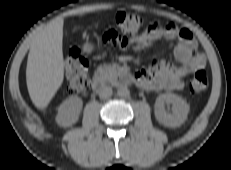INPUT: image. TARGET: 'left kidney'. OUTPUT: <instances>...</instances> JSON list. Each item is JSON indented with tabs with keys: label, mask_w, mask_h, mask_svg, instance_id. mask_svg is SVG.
I'll return each mask as SVG.
<instances>
[{
	"label": "left kidney",
	"mask_w": 231,
	"mask_h": 170,
	"mask_svg": "<svg viewBox=\"0 0 231 170\" xmlns=\"http://www.w3.org/2000/svg\"><path fill=\"white\" fill-rule=\"evenodd\" d=\"M165 104H172V113L165 110ZM155 117L167 127H177L185 122L190 107L186 100L176 94H161L155 102Z\"/></svg>",
	"instance_id": "obj_1"
}]
</instances>
